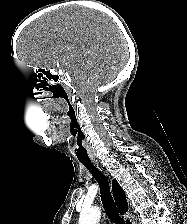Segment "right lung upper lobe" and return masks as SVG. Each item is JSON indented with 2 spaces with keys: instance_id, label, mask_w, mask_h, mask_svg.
Returning <instances> with one entry per match:
<instances>
[{
  "instance_id": "cb5924a9",
  "label": "right lung upper lobe",
  "mask_w": 187,
  "mask_h": 224,
  "mask_svg": "<svg viewBox=\"0 0 187 224\" xmlns=\"http://www.w3.org/2000/svg\"><path fill=\"white\" fill-rule=\"evenodd\" d=\"M113 193L116 204L121 214L128 210V203L126 201V196L124 190L120 187L116 180L112 181Z\"/></svg>"
}]
</instances>
